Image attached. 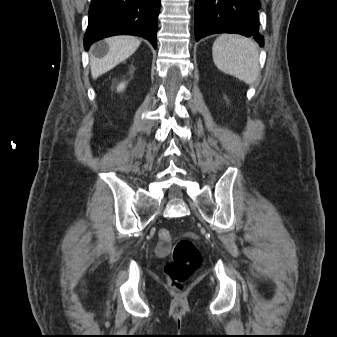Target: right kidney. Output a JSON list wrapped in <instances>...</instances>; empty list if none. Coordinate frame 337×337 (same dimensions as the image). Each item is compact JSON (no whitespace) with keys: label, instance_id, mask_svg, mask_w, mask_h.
Here are the masks:
<instances>
[{"label":"right kidney","instance_id":"1","mask_svg":"<svg viewBox=\"0 0 337 337\" xmlns=\"http://www.w3.org/2000/svg\"><path fill=\"white\" fill-rule=\"evenodd\" d=\"M125 85L124 83H121L118 87V91H121L122 89H124Z\"/></svg>","mask_w":337,"mask_h":337}]
</instances>
